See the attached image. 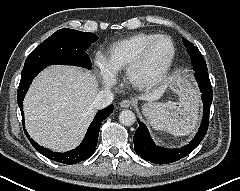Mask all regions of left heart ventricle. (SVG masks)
I'll use <instances>...</instances> for the list:
<instances>
[{
	"label": "left heart ventricle",
	"mask_w": 240,
	"mask_h": 191,
	"mask_svg": "<svg viewBox=\"0 0 240 191\" xmlns=\"http://www.w3.org/2000/svg\"><path fill=\"white\" fill-rule=\"evenodd\" d=\"M172 47L168 40L158 41L149 53L148 59L139 73L140 78L157 75L171 56Z\"/></svg>",
	"instance_id": "left-heart-ventricle-1"
}]
</instances>
